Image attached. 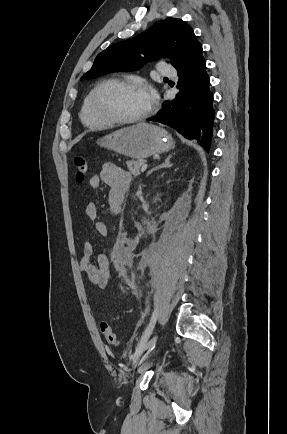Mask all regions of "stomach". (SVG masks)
<instances>
[{"instance_id":"1","label":"stomach","mask_w":287,"mask_h":434,"mask_svg":"<svg viewBox=\"0 0 287 434\" xmlns=\"http://www.w3.org/2000/svg\"><path fill=\"white\" fill-rule=\"evenodd\" d=\"M96 143L133 159H144L174 147V141L167 131L148 123L119 129L98 139Z\"/></svg>"}]
</instances>
